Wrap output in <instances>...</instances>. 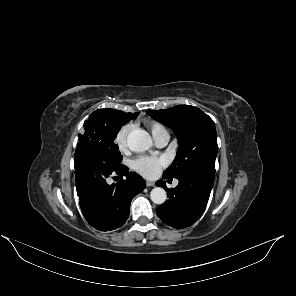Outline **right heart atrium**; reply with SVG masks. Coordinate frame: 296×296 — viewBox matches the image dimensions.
Instances as JSON below:
<instances>
[{
    "label": "right heart atrium",
    "mask_w": 296,
    "mask_h": 296,
    "mask_svg": "<svg viewBox=\"0 0 296 296\" xmlns=\"http://www.w3.org/2000/svg\"><path fill=\"white\" fill-rule=\"evenodd\" d=\"M131 132L132 126L130 124L122 126L117 132L115 137V143L120 151L124 152L128 149V141Z\"/></svg>",
    "instance_id": "right-heart-atrium-1"
}]
</instances>
